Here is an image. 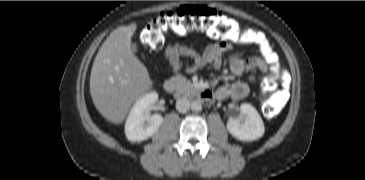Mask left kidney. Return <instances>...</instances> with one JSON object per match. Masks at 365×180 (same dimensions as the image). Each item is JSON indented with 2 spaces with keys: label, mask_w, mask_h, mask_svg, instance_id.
Returning a JSON list of instances; mask_svg holds the SVG:
<instances>
[{
  "label": "left kidney",
  "mask_w": 365,
  "mask_h": 180,
  "mask_svg": "<svg viewBox=\"0 0 365 180\" xmlns=\"http://www.w3.org/2000/svg\"><path fill=\"white\" fill-rule=\"evenodd\" d=\"M240 113L244 117L242 121L233 118L228 120L229 133L241 141H253L261 138L265 128L257 110L252 105L243 103L240 106Z\"/></svg>",
  "instance_id": "left-kidney-1"
}]
</instances>
